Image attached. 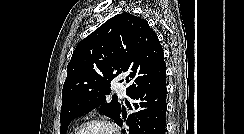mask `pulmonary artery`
I'll return each mask as SVG.
<instances>
[{"label": "pulmonary artery", "mask_w": 244, "mask_h": 134, "mask_svg": "<svg viewBox=\"0 0 244 134\" xmlns=\"http://www.w3.org/2000/svg\"><path fill=\"white\" fill-rule=\"evenodd\" d=\"M115 91L121 95V96H125V91H126V88L125 86L122 84V83H118L115 85L114 87Z\"/></svg>", "instance_id": "1"}]
</instances>
